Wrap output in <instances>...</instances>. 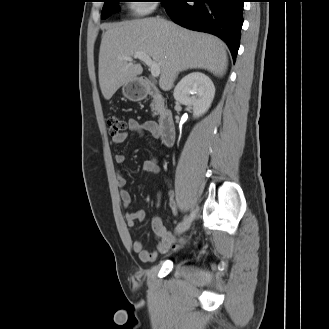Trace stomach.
I'll list each match as a JSON object with an SVG mask.
<instances>
[{
  "label": "stomach",
  "instance_id": "0dacf381",
  "mask_svg": "<svg viewBox=\"0 0 329 329\" xmlns=\"http://www.w3.org/2000/svg\"><path fill=\"white\" fill-rule=\"evenodd\" d=\"M122 93L130 101H141L147 96L148 85L143 79L134 78L123 85Z\"/></svg>",
  "mask_w": 329,
  "mask_h": 329
}]
</instances>
